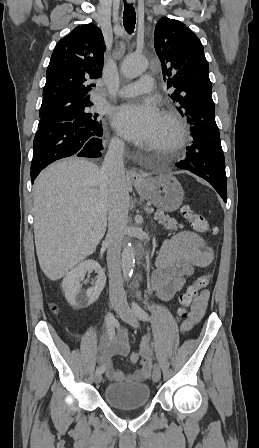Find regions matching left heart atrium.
<instances>
[{"label":"left heart atrium","mask_w":259,"mask_h":448,"mask_svg":"<svg viewBox=\"0 0 259 448\" xmlns=\"http://www.w3.org/2000/svg\"><path fill=\"white\" fill-rule=\"evenodd\" d=\"M111 121L121 136L138 143L157 129L161 115L158 107L150 101L130 102L115 108Z\"/></svg>","instance_id":"obj_1"}]
</instances>
